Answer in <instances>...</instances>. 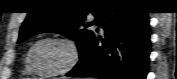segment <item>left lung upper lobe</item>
<instances>
[{
  "label": "left lung upper lobe",
  "instance_id": "obj_1",
  "mask_svg": "<svg viewBox=\"0 0 177 79\" xmlns=\"http://www.w3.org/2000/svg\"><path fill=\"white\" fill-rule=\"evenodd\" d=\"M75 2V3H68ZM115 0H81V1H61L43 0L39 1L35 11L28 13L23 22L17 43L23 42L28 37L42 32H57L76 41L81 57L86 51L89 43L94 37V33L87 27L98 23L103 9ZM67 4H76L79 7L67 9ZM92 10L96 17L93 22H85L87 10ZM85 27V28H83Z\"/></svg>",
  "mask_w": 177,
  "mask_h": 79
}]
</instances>
